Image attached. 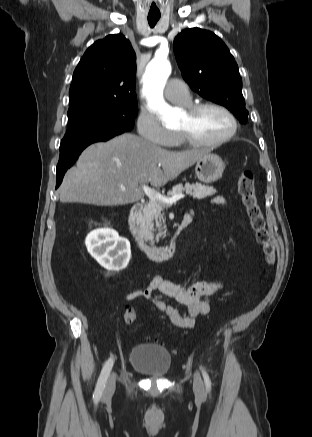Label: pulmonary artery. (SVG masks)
<instances>
[{
	"instance_id": "1",
	"label": "pulmonary artery",
	"mask_w": 312,
	"mask_h": 437,
	"mask_svg": "<svg viewBox=\"0 0 312 437\" xmlns=\"http://www.w3.org/2000/svg\"><path fill=\"white\" fill-rule=\"evenodd\" d=\"M164 94L169 101L177 104L187 105L190 102L188 86L178 79H171L167 82Z\"/></svg>"
}]
</instances>
